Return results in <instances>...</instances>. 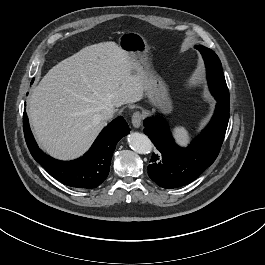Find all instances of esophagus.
Returning a JSON list of instances; mask_svg holds the SVG:
<instances>
[{
    "mask_svg": "<svg viewBox=\"0 0 265 265\" xmlns=\"http://www.w3.org/2000/svg\"><path fill=\"white\" fill-rule=\"evenodd\" d=\"M142 118V114L139 111L134 112L131 118L133 127L139 128L142 123Z\"/></svg>",
    "mask_w": 265,
    "mask_h": 265,
    "instance_id": "1",
    "label": "esophagus"
}]
</instances>
